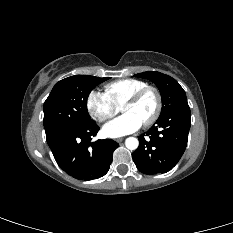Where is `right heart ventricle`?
<instances>
[{"label":"right heart ventricle","instance_id":"right-heart-ventricle-1","mask_svg":"<svg viewBox=\"0 0 233 233\" xmlns=\"http://www.w3.org/2000/svg\"><path fill=\"white\" fill-rule=\"evenodd\" d=\"M147 83L137 79H121L105 86L106 97L118 108L137 90L146 87Z\"/></svg>","mask_w":233,"mask_h":233}]
</instances>
